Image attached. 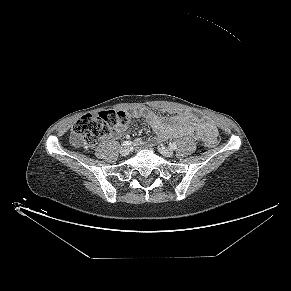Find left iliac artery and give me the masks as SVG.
<instances>
[{
	"label": "left iliac artery",
	"mask_w": 291,
	"mask_h": 291,
	"mask_svg": "<svg viewBox=\"0 0 291 291\" xmlns=\"http://www.w3.org/2000/svg\"><path fill=\"white\" fill-rule=\"evenodd\" d=\"M169 148L172 149V150H174V149L177 148V145L175 143H170L169 144Z\"/></svg>",
	"instance_id": "obj_1"
}]
</instances>
